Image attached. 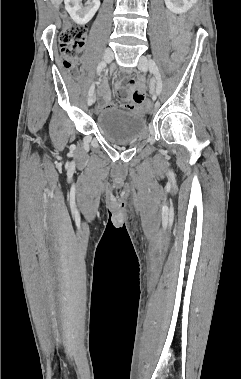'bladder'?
Masks as SVG:
<instances>
[{"mask_svg":"<svg viewBox=\"0 0 241 379\" xmlns=\"http://www.w3.org/2000/svg\"><path fill=\"white\" fill-rule=\"evenodd\" d=\"M98 131L114 144L133 143L146 133V121L141 114L121 109H106L96 119Z\"/></svg>","mask_w":241,"mask_h":379,"instance_id":"31cf9c89","label":"bladder"}]
</instances>
